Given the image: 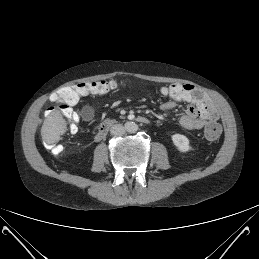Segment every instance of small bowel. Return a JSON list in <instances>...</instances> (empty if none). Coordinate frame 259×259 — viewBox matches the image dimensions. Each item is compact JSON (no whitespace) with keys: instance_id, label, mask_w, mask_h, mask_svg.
Returning <instances> with one entry per match:
<instances>
[{"instance_id":"c3829d8e","label":"small bowel","mask_w":259,"mask_h":259,"mask_svg":"<svg viewBox=\"0 0 259 259\" xmlns=\"http://www.w3.org/2000/svg\"><path fill=\"white\" fill-rule=\"evenodd\" d=\"M181 102L178 97H169V100L162 104V109L170 112ZM187 102L192 104L187 107L180 118V124L185 129L199 130L205 126L207 121L214 122L218 118L217 111L210 105L207 96L203 100L194 101L190 99Z\"/></svg>"}]
</instances>
